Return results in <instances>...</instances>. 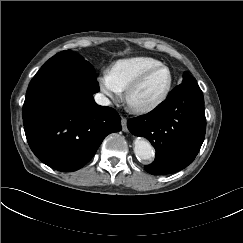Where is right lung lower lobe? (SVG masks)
<instances>
[{"label":"right lung lower lobe","instance_id":"obj_1","mask_svg":"<svg viewBox=\"0 0 243 243\" xmlns=\"http://www.w3.org/2000/svg\"><path fill=\"white\" fill-rule=\"evenodd\" d=\"M94 77L36 74L23 105L28 144L44 164L72 172L94 156L103 139L121 130V119L110 107L97 105Z\"/></svg>","mask_w":243,"mask_h":243}]
</instances>
